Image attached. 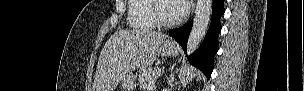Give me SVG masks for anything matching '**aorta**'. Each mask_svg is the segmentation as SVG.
Returning <instances> with one entry per match:
<instances>
[{
  "instance_id": "1",
  "label": "aorta",
  "mask_w": 304,
  "mask_h": 91,
  "mask_svg": "<svg viewBox=\"0 0 304 91\" xmlns=\"http://www.w3.org/2000/svg\"><path fill=\"white\" fill-rule=\"evenodd\" d=\"M212 0H197L195 18L187 41V54L191 55L205 37L212 12Z\"/></svg>"
}]
</instances>
